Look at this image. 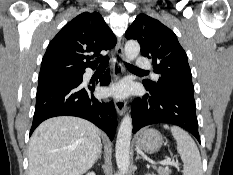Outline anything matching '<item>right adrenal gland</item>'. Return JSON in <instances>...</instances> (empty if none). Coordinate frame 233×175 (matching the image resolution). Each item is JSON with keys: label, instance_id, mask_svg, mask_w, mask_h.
<instances>
[{"label": "right adrenal gland", "instance_id": "1", "mask_svg": "<svg viewBox=\"0 0 233 175\" xmlns=\"http://www.w3.org/2000/svg\"><path fill=\"white\" fill-rule=\"evenodd\" d=\"M101 156H102V148H100V152H99V155H98V158L96 161H98L99 159H101Z\"/></svg>", "mask_w": 233, "mask_h": 175}]
</instances>
